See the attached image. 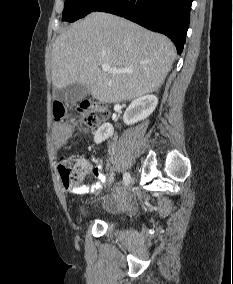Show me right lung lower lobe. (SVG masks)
<instances>
[{"mask_svg": "<svg viewBox=\"0 0 233 284\" xmlns=\"http://www.w3.org/2000/svg\"><path fill=\"white\" fill-rule=\"evenodd\" d=\"M193 0H107L95 11L112 13L169 37L181 54Z\"/></svg>", "mask_w": 233, "mask_h": 284, "instance_id": "98d812e1", "label": "right lung lower lobe"}]
</instances>
